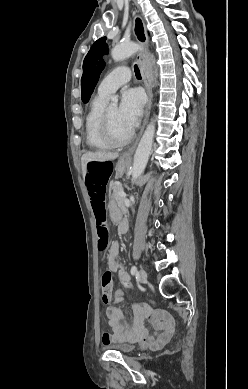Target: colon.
Masks as SVG:
<instances>
[{
    "label": "colon",
    "instance_id": "colon-1",
    "mask_svg": "<svg viewBox=\"0 0 248 389\" xmlns=\"http://www.w3.org/2000/svg\"><path fill=\"white\" fill-rule=\"evenodd\" d=\"M87 175V189L92 210L97 219V236H98V250L103 252L108 246L109 229L105 221V199L104 191L107 182L110 180V175L113 170L111 161H91L86 167ZM126 291H135L137 286L130 281L129 277H123L120 283ZM113 288V277L110 270H105L101 275V292L102 300L107 303L111 297ZM114 298H124L126 293L117 288L113 293Z\"/></svg>",
    "mask_w": 248,
    "mask_h": 389
}]
</instances>
